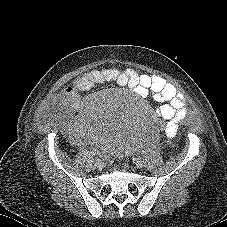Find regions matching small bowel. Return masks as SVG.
<instances>
[{"instance_id": "1", "label": "small bowel", "mask_w": 227, "mask_h": 227, "mask_svg": "<svg viewBox=\"0 0 227 227\" xmlns=\"http://www.w3.org/2000/svg\"><path fill=\"white\" fill-rule=\"evenodd\" d=\"M105 82L129 87L137 96L142 98L152 93L155 100L161 103L154 112V117L161 123V130L165 133L168 141H172L176 137L175 127L186 114L184 97L175 85L158 75L138 74L133 69L124 71L113 68L93 70L77 77L72 85L66 87L55 97V100L72 109L82 110L86 108L88 103V100L83 98L82 94ZM59 127L77 145L84 144L87 141V129L93 131L88 126L85 114H80L74 119L63 116L59 122Z\"/></svg>"}]
</instances>
